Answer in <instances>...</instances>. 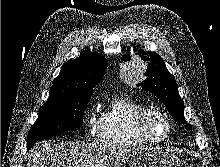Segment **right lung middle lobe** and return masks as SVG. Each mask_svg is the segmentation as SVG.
<instances>
[{
	"label": "right lung middle lobe",
	"instance_id": "obj_1",
	"mask_svg": "<svg viewBox=\"0 0 220 167\" xmlns=\"http://www.w3.org/2000/svg\"><path fill=\"white\" fill-rule=\"evenodd\" d=\"M92 92L48 99L27 137V147L35 142L82 126L85 107Z\"/></svg>",
	"mask_w": 220,
	"mask_h": 167
}]
</instances>
